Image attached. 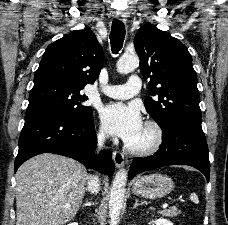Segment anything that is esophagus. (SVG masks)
I'll use <instances>...</instances> for the list:
<instances>
[{
    "instance_id": "1",
    "label": "esophagus",
    "mask_w": 228,
    "mask_h": 225,
    "mask_svg": "<svg viewBox=\"0 0 228 225\" xmlns=\"http://www.w3.org/2000/svg\"><path fill=\"white\" fill-rule=\"evenodd\" d=\"M116 18H118V20H120L124 23H126V21H127L126 18L124 16H121V15L116 16ZM113 160H114L115 166L117 168H121L124 164L123 153L118 152V151L113 152Z\"/></svg>"
}]
</instances>
